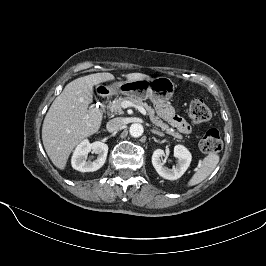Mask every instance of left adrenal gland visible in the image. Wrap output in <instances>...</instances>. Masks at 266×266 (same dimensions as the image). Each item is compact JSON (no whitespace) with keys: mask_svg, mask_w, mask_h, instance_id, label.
Masks as SVG:
<instances>
[{"mask_svg":"<svg viewBox=\"0 0 266 266\" xmlns=\"http://www.w3.org/2000/svg\"><path fill=\"white\" fill-rule=\"evenodd\" d=\"M151 132H152L153 134H157V135H159V136H163V135H164L162 132H160V131H158V130H155V129H151Z\"/></svg>","mask_w":266,"mask_h":266,"instance_id":"left-adrenal-gland-1","label":"left adrenal gland"}]
</instances>
